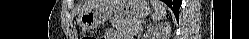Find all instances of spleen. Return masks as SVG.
I'll return each mask as SVG.
<instances>
[{
    "mask_svg": "<svg viewBox=\"0 0 249 39\" xmlns=\"http://www.w3.org/2000/svg\"><path fill=\"white\" fill-rule=\"evenodd\" d=\"M151 4L154 8V14L152 16V19L154 21L161 20L166 15V9L164 3L159 0H151Z\"/></svg>",
    "mask_w": 249,
    "mask_h": 39,
    "instance_id": "1",
    "label": "spleen"
}]
</instances>
